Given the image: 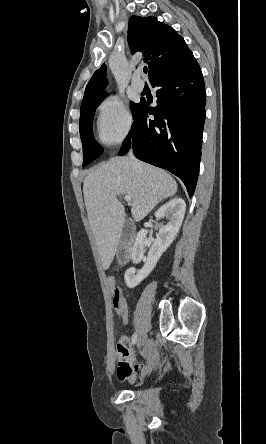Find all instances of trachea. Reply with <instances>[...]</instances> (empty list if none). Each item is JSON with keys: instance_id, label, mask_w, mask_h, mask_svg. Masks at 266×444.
<instances>
[{"instance_id": "1", "label": "trachea", "mask_w": 266, "mask_h": 444, "mask_svg": "<svg viewBox=\"0 0 266 444\" xmlns=\"http://www.w3.org/2000/svg\"><path fill=\"white\" fill-rule=\"evenodd\" d=\"M143 71H144V73H147L148 69L146 66L143 68Z\"/></svg>"}]
</instances>
